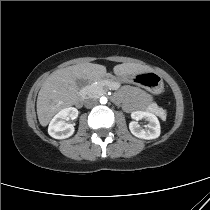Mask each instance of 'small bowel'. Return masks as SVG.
I'll return each mask as SVG.
<instances>
[{
	"mask_svg": "<svg viewBox=\"0 0 210 210\" xmlns=\"http://www.w3.org/2000/svg\"><path fill=\"white\" fill-rule=\"evenodd\" d=\"M117 102H123L124 107L128 111H132L137 107H142L149 103L150 97L135 89H125L115 96Z\"/></svg>",
	"mask_w": 210,
	"mask_h": 210,
	"instance_id": "small-bowel-1",
	"label": "small bowel"
}]
</instances>
